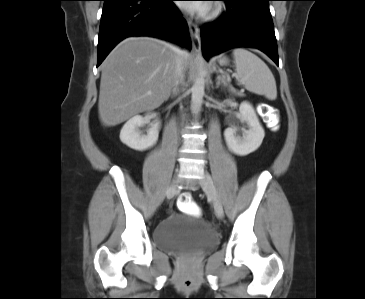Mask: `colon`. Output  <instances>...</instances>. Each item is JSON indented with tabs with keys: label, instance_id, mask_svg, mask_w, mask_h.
<instances>
[{
	"label": "colon",
	"instance_id": "1",
	"mask_svg": "<svg viewBox=\"0 0 365 299\" xmlns=\"http://www.w3.org/2000/svg\"><path fill=\"white\" fill-rule=\"evenodd\" d=\"M264 116L271 124H273V128L278 126V119L273 109H269ZM177 206L180 210L191 214H197L199 211L197 204L194 202L192 195L189 193H182L179 196Z\"/></svg>",
	"mask_w": 365,
	"mask_h": 299
}]
</instances>
